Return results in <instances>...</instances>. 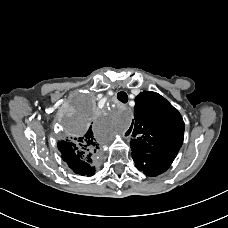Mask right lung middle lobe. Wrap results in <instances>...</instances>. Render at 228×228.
Returning a JSON list of instances; mask_svg holds the SVG:
<instances>
[{"label": "right lung middle lobe", "instance_id": "right-lung-middle-lobe-1", "mask_svg": "<svg viewBox=\"0 0 228 228\" xmlns=\"http://www.w3.org/2000/svg\"><path fill=\"white\" fill-rule=\"evenodd\" d=\"M74 117L76 118L78 124V131L87 128L91 122L93 117L92 107L91 104L84 98L79 100Z\"/></svg>", "mask_w": 228, "mask_h": 228}]
</instances>
